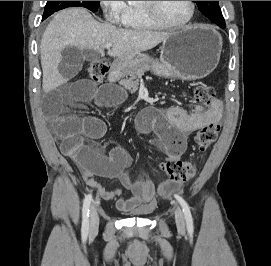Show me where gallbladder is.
Wrapping results in <instances>:
<instances>
[{
    "instance_id": "obj_1",
    "label": "gallbladder",
    "mask_w": 271,
    "mask_h": 266,
    "mask_svg": "<svg viewBox=\"0 0 271 266\" xmlns=\"http://www.w3.org/2000/svg\"><path fill=\"white\" fill-rule=\"evenodd\" d=\"M95 54V56H91ZM99 54L92 50L81 51L75 46H68L62 51V60L58 70L66 79L75 77L81 70L85 60L98 58Z\"/></svg>"
}]
</instances>
